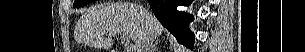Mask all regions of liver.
<instances>
[{
	"instance_id": "1",
	"label": "liver",
	"mask_w": 305,
	"mask_h": 52,
	"mask_svg": "<svg viewBox=\"0 0 305 52\" xmlns=\"http://www.w3.org/2000/svg\"><path fill=\"white\" fill-rule=\"evenodd\" d=\"M131 3H107L89 8L78 20L76 30L80 37L99 48L113 46V37L126 35L139 44L145 33L154 38L160 36L164 28L154 15Z\"/></svg>"
}]
</instances>
